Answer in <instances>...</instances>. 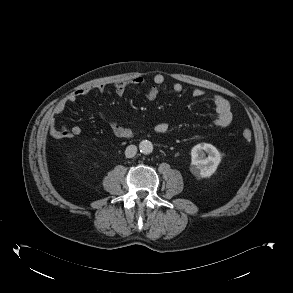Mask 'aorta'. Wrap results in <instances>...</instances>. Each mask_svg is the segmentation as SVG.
Segmentation results:
<instances>
[{"mask_svg":"<svg viewBox=\"0 0 293 293\" xmlns=\"http://www.w3.org/2000/svg\"><path fill=\"white\" fill-rule=\"evenodd\" d=\"M139 149L145 155L150 154L153 151V144L148 140H143L139 144Z\"/></svg>","mask_w":293,"mask_h":293,"instance_id":"762f6f07","label":"aorta"}]
</instances>
